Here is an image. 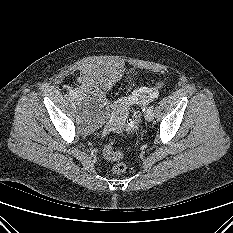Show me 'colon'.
Returning <instances> with one entry per match:
<instances>
[{"instance_id":"obj_1","label":"colon","mask_w":233,"mask_h":233,"mask_svg":"<svg viewBox=\"0 0 233 233\" xmlns=\"http://www.w3.org/2000/svg\"><path fill=\"white\" fill-rule=\"evenodd\" d=\"M139 122V112L134 111L131 119L127 123V132L131 133ZM103 156L109 161L115 162L112 167V172L116 175L123 174L127 170V165L123 162V154L120 151L114 150L111 144H107L103 149Z\"/></svg>"}]
</instances>
